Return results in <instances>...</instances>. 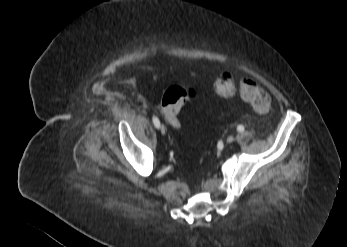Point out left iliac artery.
Masks as SVG:
<instances>
[{
    "mask_svg": "<svg viewBox=\"0 0 347 247\" xmlns=\"http://www.w3.org/2000/svg\"><path fill=\"white\" fill-rule=\"evenodd\" d=\"M237 130H238L239 132H243V131H244V126H243V125H238V126H237Z\"/></svg>",
    "mask_w": 347,
    "mask_h": 247,
    "instance_id": "1",
    "label": "left iliac artery"
}]
</instances>
